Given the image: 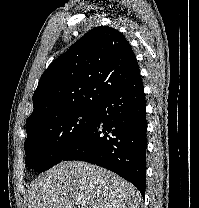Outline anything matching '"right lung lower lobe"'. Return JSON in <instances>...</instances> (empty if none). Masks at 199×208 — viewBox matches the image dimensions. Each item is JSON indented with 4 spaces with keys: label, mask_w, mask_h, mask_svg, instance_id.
I'll use <instances>...</instances> for the list:
<instances>
[{
    "label": "right lung lower lobe",
    "mask_w": 199,
    "mask_h": 208,
    "mask_svg": "<svg viewBox=\"0 0 199 208\" xmlns=\"http://www.w3.org/2000/svg\"><path fill=\"white\" fill-rule=\"evenodd\" d=\"M146 102L141 76L102 98L85 136L63 158L109 169L135 185L146 186Z\"/></svg>",
    "instance_id": "98d812e1"
}]
</instances>
